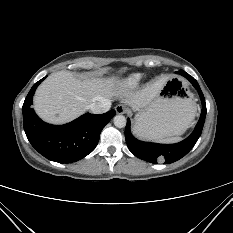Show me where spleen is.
Listing matches in <instances>:
<instances>
[{"label": "spleen", "mask_w": 233, "mask_h": 233, "mask_svg": "<svg viewBox=\"0 0 233 233\" xmlns=\"http://www.w3.org/2000/svg\"><path fill=\"white\" fill-rule=\"evenodd\" d=\"M133 131H134V133H135V126H134V128H133ZM136 134V133H135ZM137 135V134H136ZM138 136V135H137ZM181 140V138L180 137H173V138H168V139H166V140H164L163 142H165V143H174V142H178V141H180Z\"/></svg>", "instance_id": "spleen-1"}]
</instances>
